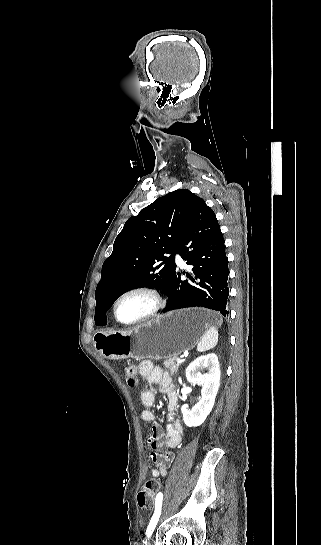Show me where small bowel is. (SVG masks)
<instances>
[{"label":"small bowel","mask_w":321,"mask_h":545,"mask_svg":"<svg viewBox=\"0 0 321 545\" xmlns=\"http://www.w3.org/2000/svg\"><path fill=\"white\" fill-rule=\"evenodd\" d=\"M139 372L146 382L158 384L159 391L168 398L167 423L163 434L155 415L149 410L155 402L154 391L145 388L141 392V403L145 407L141 416L152 427V432L147 436V441L151 450L150 458L156 467L151 469L150 475L153 479H156L166 476L167 469L174 459V454L169 449L177 447L182 440V426L174 413L178 402V394L169 374L163 368L155 366L151 361L141 362Z\"/></svg>","instance_id":"1"}]
</instances>
